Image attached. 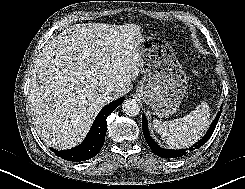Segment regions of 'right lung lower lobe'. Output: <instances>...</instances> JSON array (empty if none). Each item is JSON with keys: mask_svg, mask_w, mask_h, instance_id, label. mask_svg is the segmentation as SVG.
I'll return each instance as SVG.
<instances>
[{"mask_svg": "<svg viewBox=\"0 0 245 189\" xmlns=\"http://www.w3.org/2000/svg\"><path fill=\"white\" fill-rule=\"evenodd\" d=\"M119 98L106 105L97 115L85 140L70 150L57 151L51 149L58 157L67 161H85L93 158L102 148L107 130V117L124 101Z\"/></svg>", "mask_w": 245, "mask_h": 189, "instance_id": "1", "label": "right lung lower lobe"}]
</instances>
